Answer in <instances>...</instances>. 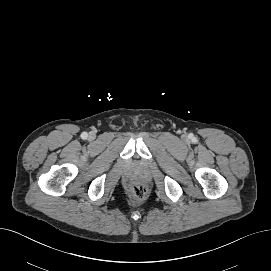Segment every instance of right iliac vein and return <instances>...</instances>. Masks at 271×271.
<instances>
[{
	"mask_svg": "<svg viewBox=\"0 0 271 271\" xmlns=\"http://www.w3.org/2000/svg\"><path fill=\"white\" fill-rule=\"evenodd\" d=\"M93 136H94V134H93V133H90L89 137H93Z\"/></svg>",
	"mask_w": 271,
	"mask_h": 271,
	"instance_id": "63e3f726",
	"label": "right iliac vein"
}]
</instances>
